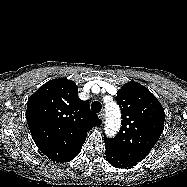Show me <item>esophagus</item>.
Wrapping results in <instances>:
<instances>
[{"instance_id":"obj_1","label":"esophagus","mask_w":187,"mask_h":187,"mask_svg":"<svg viewBox=\"0 0 187 187\" xmlns=\"http://www.w3.org/2000/svg\"><path fill=\"white\" fill-rule=\"evenodd\" d=\"M98 117H99V119L100 120H104L105 119V114H104V112H100L99 114H98Z\"/></svg>"}]
</instances>
